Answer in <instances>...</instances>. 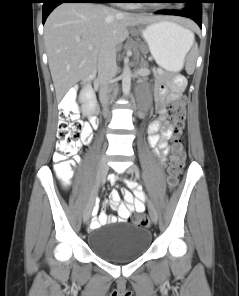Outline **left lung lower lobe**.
I'll return each mask as SVG.
<instances>
[{
    "instance_id": "obj_1",
    "label": "left lung lower lobe",
    "mask_w": 239,
    "mask_h": 296,
    "mask_svg": "<svg viewBox=\"0 0 239 296\" xmlns=\"http://www.w3.org/2000/svg\"><path fill=\"white\" fill-rule=\"evenodd\" d=\"M181 3H187V7L183 10H160L156 14H167L183 16L194 20L200 28H202V7L195 1L182 0Z\"/></svg>"
}]
</instances>
